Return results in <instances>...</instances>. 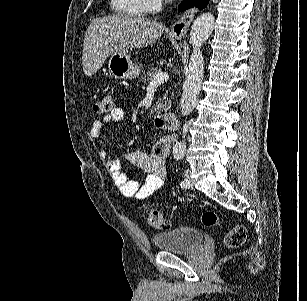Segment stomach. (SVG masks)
<instances>
[{"mask_svg":"<svg viewBox=\"0 0 307 301\" xmlns=\"http://www.w3.org/2000/svg\"><path fill=\"white\" fill-rule=\"evenodd\" d=\"M181 40L183 36H175ZM108 68L115 78H137L141 70L139 64L132 60L131 52H113L108 60Z\"/></svg>","mask_w":307,"mask_h":301,"instance_id":"1","label":"stomach"}]
</instances>
